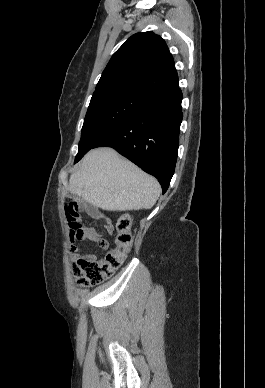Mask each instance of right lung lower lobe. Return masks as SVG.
<instances>
[{"instance_id": "right-lung-lower-lobe-1", "label": "right lung lower lobe", "mask_w": 265, "mask_h": 388, "mask_svg": "<svg viewBox=\"0 0 265 388\" xmlns=\"http://www.w3.org/2000/svg\"><path fill=\"white\" fill-rule=\"evenodd\" d=\"M179 84L148 98L125 121L101 138L93 148L116 149L155 176L165 193L174 174L182 122Z\"/></svg>"}]
</instances>
